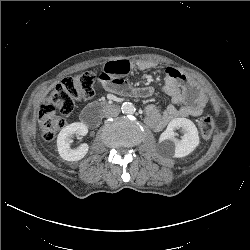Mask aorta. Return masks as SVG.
Here are the masks:
<instances>
[{
    "instance_id": "762f6f07",
    "label": "aorta",
    "mask_w": 250,
    "mask_h": 250,
    "mask_svg": "<svg viewBox=\"0 0 250 250\" xmlns=\"http://www.w3.org/2000/svg\"><path fill=\"white\" fill-rule=\"evenodd\" d=\"M121 110L124 114L130 115V114H134L136 111L135 106L130 103V102H125L122 104L121 106Z\"/></svg>"
}]
</instances>
